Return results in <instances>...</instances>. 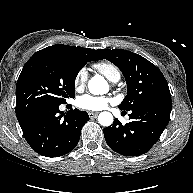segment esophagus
Segmentation results:
<instances>
[{
    "label": "esophagus",
    "instance_id": "esophagus-1",
    "mask_svg": "<svg viewBox=\"0 0 193 193\" xmlns=\"http://www.w3.org/2000/svg\"><path fill=\"white\" fill-rule=\"evenodd\" d=\"M88 115L90 118H96L98 115V112H89Z\"/></svg>",
    "mask_w": 193,
    "mask_h": 193
}]
</instances>
